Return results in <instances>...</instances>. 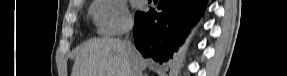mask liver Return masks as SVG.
<instances>
[{"label": "liver", "mask_w": 287, "mask_h": 76, "mask_svg": "<svg viewBox=\"0 0 287 76\" xmlns=\"http://www.w3.org/2000/svg\"><path fill=\"white\" fill-rule=\"evenodd\" d=\"M142 70L147 63L136 50ZM131 61L125 43L119 39L98 38L87 41L76 53L71 76H131Z\"/></svg>", "instance_id": "liver-1"}]
</instances>
